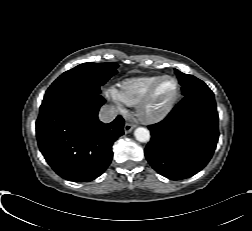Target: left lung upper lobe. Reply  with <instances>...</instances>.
Wrapping results in <instances>:
<instances>
[{
  "label": "left lung upper lobe",
  "instance_id": "1",
  "mask_svg": "<svg viewBox=\"0 0 252 231\" xmlns=\"http://www.w3.org/2000/svg\"><path fill=\"white\" fill-rule=\"evenodd\" d=\"M176 75L179 78V82L182 85L183 95L194 94L198 92H210L209 87L200 79L189 75L184 74L178 70H175Z\"/></svg>",
  "mask_w": 252,
  "mask_h": 231
}]
</instances>
